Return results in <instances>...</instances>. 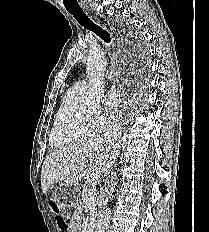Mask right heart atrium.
Here are the masks:
<instances>
[{"mask_svg":"<svg viewBox=\"0 0 209 232\" xmlns=\"http://www.w3.org/2000/svg\"><path fill=\"white\" fill-rule=\"evenodd\" d=\"M117 118L116 113H103L96 118L95 123L100 128H105L110 126Z\"/></svg>","mask_w":209,"mask_h":232,"instance_id":"obj_1","label":"right heart atrium"}]
</instances>
